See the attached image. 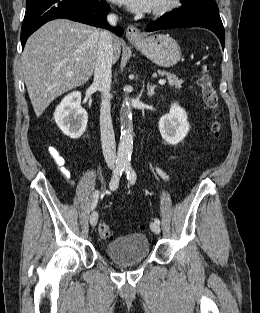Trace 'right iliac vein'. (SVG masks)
<instances>
[{
  "instance_id": "1",
  "label": "right iliac vein",
  "mask_w": 260,
  "mask_h": 313,
  "mask_svg": "<svg viewBox=\"0 0 260 313\" xmlns=\"http://www.w3.org/2000/svg\"><path fill=\"white\" fill-rule=\"evenodd\" d=\"M98 221V213L97 211H93L90 215V224L92 226H95L97 224Z\"/></svg>"
}]
</instances>
